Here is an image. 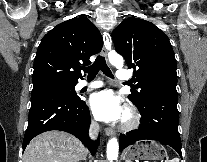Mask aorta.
Returning a JSON list of instances; mask_svg holds the SVG:
<instances>
[{
	"instance_id": "1",
	"label": "aorta",
	"mask_w": 207,
	"mask_h": 162,
	"mask_svg": "<svg viewBox=\"0 0 207 162\" xmlns=\"http://www.w3.org/2000/svg\"><path fill=\"white\" fill-rule=\"evenodd\" d=\"M109 61L113 66L117 68L123 67L124 64L123 57L117 54L109 56ZM118 151H119L118 140L117 138L113 137L108 141L107 144V160L109 162H113L114 160H117Z\"/></svg>"
}]
</instances>
